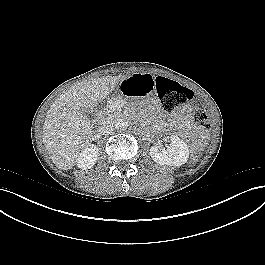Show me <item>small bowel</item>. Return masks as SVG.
<instances>
[{
	"label": "small bowel",
	"mask_w": 265,
	"mask_h": 265,
	"mask_svg": "<svg viewBox=\"0 0 265 265\" xmlns=\"http://www.w3.org/2000/svg\"><path fill=\"white\" fill-rule=\"evenodd\" d=\"M191 110H192L191 106H184L176 113V115L189 118Z\"/></svg>",
	"instance_id": "1"
}]
</instances>
